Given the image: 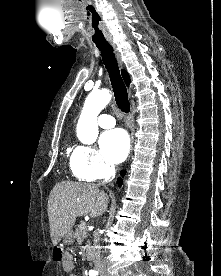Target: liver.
Wrapping results in <instances>:
<instances>
[{
    "instance_id": "liver-1",
    "label": "liver",
    "mask_w": 221,
    "mask_h": 276,
    "mask_svg": "<svg viewBox=\"0 0 221 276\" xmlns=\"http://www.w3.org/2000/svg\"><path fill=\"white\" fill-rule=\"evenodd\" d=\"M108 202V195L95 184L57 183L49 195L47 209L52 243L56 245L71 231L77 217L102 215Z\"/></svg>"
}]
</instances>
